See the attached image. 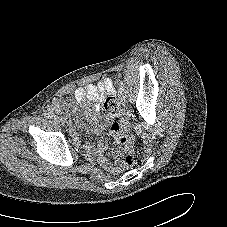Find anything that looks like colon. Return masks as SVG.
<instances>
[{
    "label": "colon",
    "mask_w": 227,
    "mask_h": 227,
    "mask_svg": "<svg viewBox=\"0 0 227 227\" xmlns=\"http://www.w3.org/2000/svg\"><path fill=\"white\" fill-rule=\"evenodd\" d=\"M104 113L111 119H116L124 115L119 100L114 96L107 98L105 101ZM111 134L115 144L118 146L129 148L133 143L130 125L126 121L114 122L111 126ZM135 162L134 154L130 150H127L122 157L121 166L123 169H131L135 165Z\"/></svg>",
    "instance_id": "obj_1"
}]
</instances>
